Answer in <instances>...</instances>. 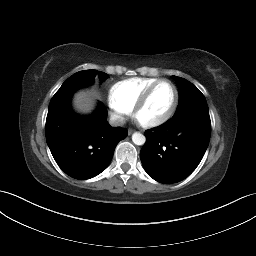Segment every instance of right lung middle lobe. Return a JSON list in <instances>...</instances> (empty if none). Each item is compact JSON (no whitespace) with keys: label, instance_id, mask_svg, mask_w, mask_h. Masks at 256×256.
Returning <instances> with one entry per match:
<instances>
[{"label":"right lung middle lobe","instance_id":"1","mask_svg":"<svg viewBox=\"0 0 256 256\" xmlns=\"http://www.w3.org/2000/svg\"><path fill=\"white\" fill-rule=\"evenodd\" d=\"M96 70H83L75 73L69 77L56 92V94L51 99V102L68 99L71 97V94L78 88L90 85L93 83L96 76ZM101 81L107 79L108 75L104 72H99Z\"/></svg>","mask_w":256,"mask_h":256}]
</instances>
